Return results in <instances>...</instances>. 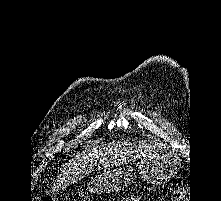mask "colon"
Listing matches in <instances>:
<instances>
[{
    "label": "colon",
    "mask_w": 221,
    "mask_h": 201,
    "mask_svg": "<svg viewBox=\"0 0 221 201\" xmlns=\"http://www.w3.org/2000/svg\"><path fill=\"white\" fill-rule=\"evenodd\" d=\"M174 201H188V189L186 186L178 187L174 191ZM42 201H59L52 197H46Z\"/></svg>",
    "instance_id": "5ec220e1"
}]
</instances>
